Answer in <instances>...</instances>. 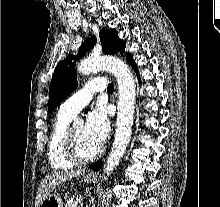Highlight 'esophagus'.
I'll return each mask as SVG.
<instances>
[{
    "instance_id": "1",
    "label": "esophagus",
    "mask_w": 220,
    "mask_h": 207,
    "mask_svg": "<svg viewBox=\"0 0 220 207\" xmlns=\"http://www.w3.org/2000/svg\"><path fill=\"white\" fill-rule=\"evenodd\" d=\"M90 175H94V172L91 171V172H90Z\"/></svg>"
}]
</instances>
